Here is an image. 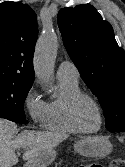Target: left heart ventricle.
<instances>
[{
	"label": "left heart ventricle",
	"instance_id": "obj_1",
	"mask_svg": "<svg viewBox=\"0 0 125 167\" xmlns=\"http://www.w3.org/2000/svg\"><path fill=\"white\" fill-rule=\"evenodd\" d=\"M77 119L81 127L87 130L96 129L99 125V114L95 105L89 100H83L77 109Z\"/></svg>",
	"mask_w": 125,
	"mask_h": 167
}]
</instances>
